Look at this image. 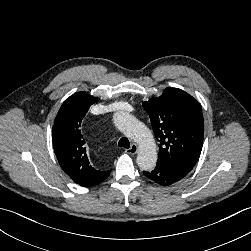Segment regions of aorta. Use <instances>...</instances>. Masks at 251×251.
Returning <instances> with one entry per match:
<instances>
[{
  "mask_svg": "<svg viewBox=\"0 0 251 251\" xmlns=\"http://www.w3.org/2000/svg\"><path fill=\"white\" fill-rule=\"evenodd\" d=\"M113 122L125 136L138 143L140 151L137 156V164L140 169L144 171L153 170L157 162V150L150 130L126 112L115 113Z\"/></svg>",
  "mask_w": 251,
  "mask_h": 251,
  "instance_id": "obj_1",
  "label": "aorta"
}]
</instances>
